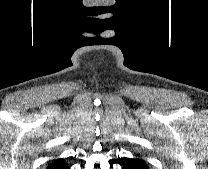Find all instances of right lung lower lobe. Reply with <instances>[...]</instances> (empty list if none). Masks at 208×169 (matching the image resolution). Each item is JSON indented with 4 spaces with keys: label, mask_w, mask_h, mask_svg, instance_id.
I'll return each instance as SVG.
<instances>
[{
    "label": "right lung lower lobe",
    "mask_w": 208,
    "mask_h": 169,
    "mask_svg": "<svg viewBox=\"0 0 208 169\" xmlns=\"http://www.w3.org/2000/svg\"><path fill=\"white\" fill-rule=\"evenodd\" d=\"M47 169H69V166L65 163L63 159H58L53 161Z\"/></svg>",
    "instance_id": "98d812e1"
}]
</instances>
